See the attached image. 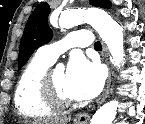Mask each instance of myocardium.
I'll return each mask as SVG.
<instances>
[{
	"instance_id": "myocardium-1",
	"label": "myocardium",
	"mask_w": 145,
	"mask_h": 124,
	"mask_svg": "<svg viewBox=\"0 0 145 124\" xmlns=\"http://www.w3.org/2000/svg\"><path fill=\"white\" fill-rule=\"evenodd\" d=\"M40 93L43 101L53 109H68L75 104L74 100L65 98L58 92L53 81V71L50 70H47L42 76Z\"/></svg>"
}]
</instances>
